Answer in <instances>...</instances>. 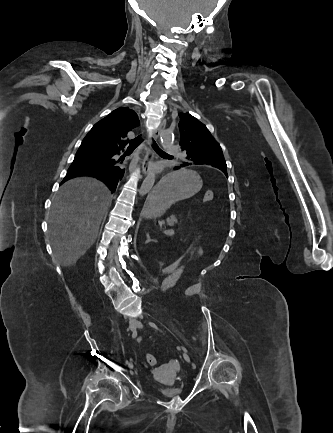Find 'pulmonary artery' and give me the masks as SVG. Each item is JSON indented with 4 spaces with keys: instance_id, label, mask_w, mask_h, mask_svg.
<instances>
[{
    "instance_id": "e3ab8cb5",
    "label": "pulmonary artery",
    "mask_w": 333,
    "mask_h": 433,
    "mask_svg": "<svg viewBox=\"0 0 333 433\" xmlns=\"http://www.w3.org/2000/svg\"><path fill=\"white\" fill-rule=\"evenodd\" d=\"M166 151L169 154H174L176 152V148L173 145L166 146Z\"/></svg>"
}]
</instances>
